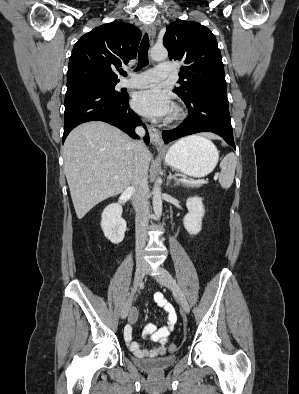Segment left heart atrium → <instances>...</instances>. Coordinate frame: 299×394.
Instances as JSON below:
<instances>
[{"label":"left heart atrium","mask_w":299,"mask_h":394,"mask_svg":"<svg viewBox=\"0 0 299 394\" xmlns=\"http://www.w3.org/2000/svg\"><path fill=\"white\" fill-rule=\"evenodd\" d=\"M132 107L146 117L163 118L171 114L174 105L167 92L153 86L137 92Z\"/></svg>","instance_id":"left-heart-atrium-1"}]
</instances>
